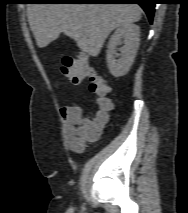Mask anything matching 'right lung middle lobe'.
<instances>
[{"label":"right lung middle lobe","mask_w":188,"mask_h":213,"mask_svg":"<svg viewBox=\"0 0 188 213\" xmlns=\"http://www.w3.org/2000/svg\"><path fill=\"white\" fill-rule=\"evenodd\" d=\"M32 1H34V2H39V1H42V0H32Z\"/></svg>","instance_id":"obj_1"}]
</instances>
